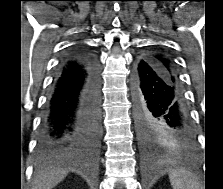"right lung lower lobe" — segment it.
Listing matches in <instances>:
<instances>
[{
	"label": "right lung lower lobe",
	"mask_w": 223,
	"mask_h": 189,
	"mask_svg": "<svg viewBox=\"0 0 223 189\" xmlns=\"http://www.w3.org/2000/svg\"><path fill=\"white\" fill-rule=\"evenodd\" d=\"M69 62L82 65L67 72ZM99 68L92 55L72 50L61 61L48 92L38 136L39 149L56 153L82 147L95 153L100 134Z\"/></svg>",
	"instance_id": "98d812e1"
}]
</instances>
